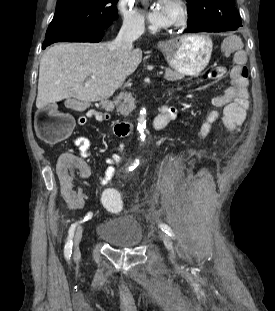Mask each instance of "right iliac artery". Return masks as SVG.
Listing matches in <instances>:
<instances>
[{"instance_id": "obj_1", "label": "right iliac artery", "mask_w": 275, "mask_h": 311, "mask_svg": "<svg viewBox=\"0 0 275 311\" xmlns=\"http://www.w3.org/2000/svg\"><path fill=\"white\" fill-rule=\"evenodd\" d=\"M138 164H139V160L137 159L131 166H129L128 171L134 170L138 166ZM91 218H92V213L88 212L86 214V216L84 217L83 221H87V220H89ZM80 222H82V221H80ZM80 222L73 223L71 225V227L69 228L68 238H67V242H66L65 248H64V256H65L66 259H70V257H71V254H72V244H73L72 243V239H73V236H74V232H75L76 226Z\"/></svg>"}]
</instances>
